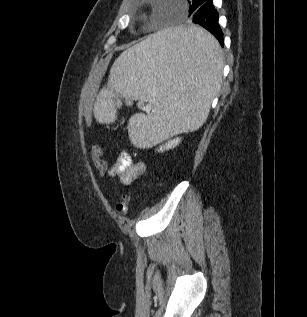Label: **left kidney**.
<instances>
[{"mask_svg": "<svg viewBox=\"0 0 307 317\" xmlns=\"http://www.w3.org/2000/svg\"><path fill=\"white\" fill-rule=\"evenodd\" d=\"M181 142V138L177 137L171 140H168L165 144L161 145L159 149H157L158 152H163L165 150L172 149L176 147Z\"/></svg>", "mask_w": 307, "mask_h": 317, "instance_id": "5707ae66", "label": "left kidney"}]
</instances>
